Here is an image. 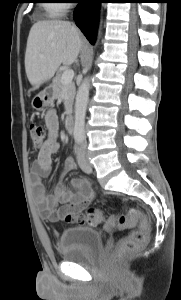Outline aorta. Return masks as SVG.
Returning a JSON list of instances; mask_svg holds the SVG:
<instances>
[{"instance_id":"1","label":"aorta","mask_w":181,"mask_h":300,"mask_svg":"<svg viewBox=\"0 0 181 300\" xmlns=\"http://www.w3.org/2000/svg\"><path fill=\"white\" fill-rule=\"evenodd\" d=\"M90 78L86 77L78 88L75 102V122L73 136L75 139H84L85 117L89 98Z\"/></svg>"}]
</instances>
